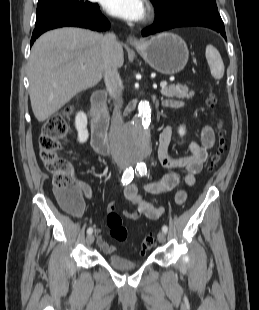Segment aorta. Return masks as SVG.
Here are the masks:
<instances>
[{"mask_svg": "<svg viewBox=\"0 0 259 310\" xmlns=\"http://www.w3.org/2000/svg\"><path fill=\"white\" fill-rule=\"evenodd\" d=\"M150 122V104L141 101L135 117L123 127L118 138L119 149L131 160H142L150 153Z\"/></svg>", "mask_w": 259, "mask_h": 310, "instance_id": "1", "label": "aorta"}]
</instances>
